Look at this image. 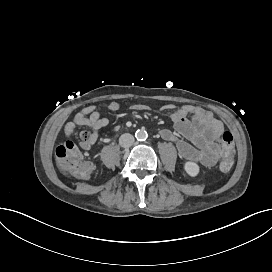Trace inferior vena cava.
<instances>
[{
  "mask_svg": "<svg viewBox=\"0 0 272 272\" xmlns=\"http://www.w3.org/2000/svg\"><path fill=\"white\" fill-rule=\"evenodd\" d=\"M135 139L132 134L124 133L119 138V144L124 148H129L133 145Z\"/></svg>",
  "mask_w": 272,
  "mask_h": 272,
  "instance_id": "obj_1",
  "label": "inferior vena cava"
}]
</instances>
